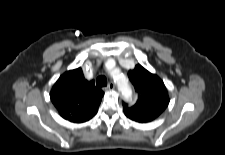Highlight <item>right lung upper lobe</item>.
<instances>
[{"instance_id":"1","label":"right lung upper lobe","mask_w":225,"mask_h":155,"mask_svg":"<svg viewBox=\"0 0 225 155\" xmlns=\"http://www.w3.org/2000/svg\"><path fill=\"white\" fill-rule=\"evenodd\" d=\"M103 91L84 78L81 68L65 72L54 84L50 98L60 116L73 123L90 120L98 111Z\"/></svg>"}]
</instances>
